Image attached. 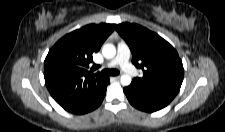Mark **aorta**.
<instances>
[{
  "label": "aorta",
  "mask_w": 225,
  "mask_h": 132,
  "mask_svg": "<svg viewBox=\"0 0 225 132\" xmlns=\"http://www.w3.org/2000/svg\"><path fill=\"white\" fill-rule=\"evenodd\" d=\"M102 54L106 59H112L116 55V48L113 44H105L102 47ZM131 76L123 74L120 78V82L123 86H128L131 84Z\"/></svg>",
  "instance_id": "762f6f07"
}]
</instances>
